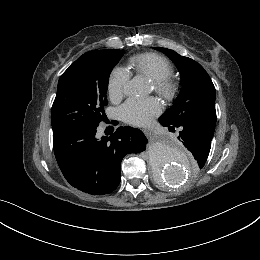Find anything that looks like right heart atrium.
<instances>
[{
  "label": "right heart atrium",
  "instance_id": "right-heart-atrium-1",
  "mask_svg": "<svg viewBox=\"0 0 260 260\" xmlns=\"http://www.w3.org/2000/svg\"><path fill=\"white\" fill-rule=\"evenodd\" d=\"M130 74L121 67H115L109 77L108 94L113 101L120 100L125 94Z\"/></svg>",
  "mask_w": 260,
  "mask_h": 260
}]
</instances>
